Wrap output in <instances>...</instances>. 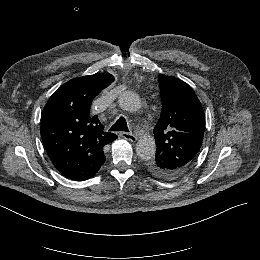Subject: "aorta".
I'll return each mask as SVG.
<instances>
[{
  "instance_id": "aorta-1",
  "label": "aorta",
  "mask_w": 260,
  "mask_h": 260,
  "mask_svg": "<svg viewBox=\"0 0 260 260\" xmlns=\"http://www.w3.org/2000/svg\"><path fill=\"white\" fill-rule=\"evenodd\" d=\"M118 104L121 109L128 112H137L141 109L142 103L139 96L132 92H123L118 98ZM156 152L154 138H141L136 144L137 156L142 160L152 159Z\"/></svg>"
}]
</instances>
